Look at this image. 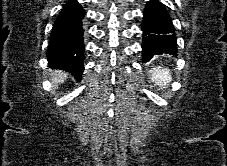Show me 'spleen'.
Returning a JSON list of instances; mask_svg holds the SVG:
<instances>
[{"instance_id": "3e777b00", "label": "spleen", "mask_w": 227, "mask_h": 166, "mask_svg": "<svg viewBox=\"0 0 227 166\" xmlns=\"http://www.w3.org/2000/svg\"><path fill=\"white\" fill-rule=\"evenodd\" d=\"M151 81L161 89L165 88L172 80L169 69L161 66L154 67L149 71Z\"/></svg>"}]
</instances>
